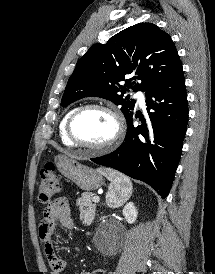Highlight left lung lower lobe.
<instances>
[{
  "label": "left lung lower lobe",
  "mask_w": 215,
  "mask_h": 274,
  "mask_svg": "<svg viewBox=\"0 0 215 274\" xmlns=\"http://www.w3.org/2000/svg\"><path fill=\"white\" fill-rule=\"evenodd\" d=\"M148 120L133 113L127 121L125 142L110 154L92 158L152 186L162 198L171 188L187 130L188 104L182 66L160 84L146 90Z\"/></svg>",
  "instance_id": "obj_1"
}]
</instances>
